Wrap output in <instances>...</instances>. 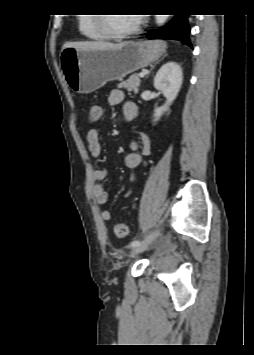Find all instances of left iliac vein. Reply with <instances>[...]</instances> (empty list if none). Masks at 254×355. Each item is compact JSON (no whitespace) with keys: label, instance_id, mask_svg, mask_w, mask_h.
Instances as JSON below:
<instances>
[{"label":"left iliac vein","instance_id":"4c4485c4","mask_svg":"<svg viewBox=\"0 0 254 355\" xmlns=\"http://www.w3.org/2000/svg\"><path fill=\"white\" fill-rule=\"evenodd\" d=\"M160 230L155 231L151 236H149L147 239H145L140 245L134 247L133 253L134 254H139L145 251L155 240V238L159 235Z\"/></svg>","mask_w":254,"mask_h":355}]
</instances>
